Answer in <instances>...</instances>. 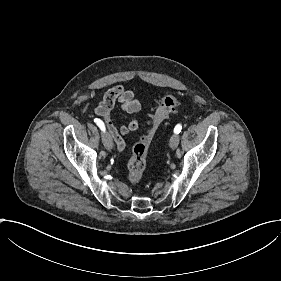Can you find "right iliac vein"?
<instances>
[{
	"instance_id": "63e3f726",
	"label": "right iliac vein",
	"mask_w": 281,
	"mask_h": 281,
	"mask_svg": "<svg viewBox=\"0 0 281 281\" xmlns=\"http://www.w3.org/2000/svg\"><path fill=\"white\" fill-rule=\"evenodd\" d=\"M102 141H103V144H104L106 150H107V149H108V150L111 149V147L114 148V144H113V142H112V138H111V136H110L109 134H104V135L102 136Z\"/></svg>"
}]
</instances>
